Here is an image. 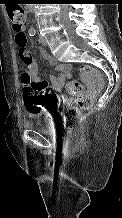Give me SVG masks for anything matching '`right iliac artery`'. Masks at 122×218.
I'll return each mask as SVG.
<instances>
[{
  "instance_id": "obj_1",
  "label": "right iliac artery",
  "mask_w": 122,
  "mask_h": 218,
  "mask_svg": "<svg viewBox=\"0 0 122 218\" xmlns=\"http://www.w3.org/2000/svg\"><path fill=\"white\" fill-rule=\"evenodd\" d=\"M29 35L30 36H35L36 35V30L35 29H30L29 30Z\"/></svg>"
}]
</instances>
